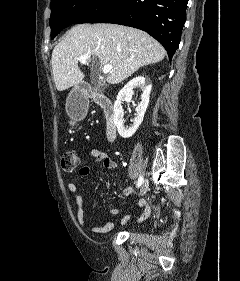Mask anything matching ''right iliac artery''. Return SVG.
<instances>
[{
  "label": "right iliac artery",
  "instance_id": "82829eb1",
  "mask_svg": "<svg viewBox=\"0 0 240 281\" xmlns=\"http://www.w3.org/2000/svg\"><path fill=\"white\" fill-rule=\"evenodd\" d=\"M142 183H143V177L140 176L138 181H137V188H139L142 185Z\"/></svg>",
  "mask_w": 240,
  "mask_h": 281
}]
</instances>
